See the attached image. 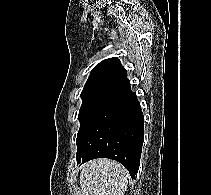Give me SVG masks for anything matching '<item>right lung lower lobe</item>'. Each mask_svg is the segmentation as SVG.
<instances>
[{"mask_svg":"<svg viewBox=\"0 0 211 195\" xmlns=\"http://www.w3.org/2000/svg\"><path fill=\"white\" fill-rule=\"evenodd\" d=\"M144 116L130 85L116 91L77 147V164L109 158L124 165L131 177L140 164Z\"/></svg>","mask_w":211,"mask_h":195,"instance_id":"98d812e1","label":"right lung lower lobe"}]
</instances>
